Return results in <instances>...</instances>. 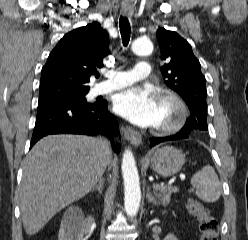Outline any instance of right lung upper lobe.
<instances>
[{"instance_id":"right-lung-upper-lobe-1","label":"right lung upper lobe","mask_w":248,"mask_h":240,"mask_svg":"<svg viewBox=\"0 0 248 240\" xmlns=\"http://www.w3.org/2000/svg\"><path fill=\"white\" fill-rule=\"evenodd\" d=\"M109 36L98 22L67 33L41 71L39 102L88 92L87 83L103 66Z\"/></svg>"}]
</instances>
